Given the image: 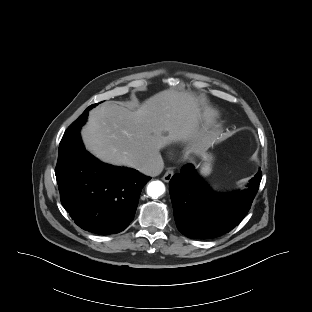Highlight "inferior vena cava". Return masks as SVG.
<instances>
[{
    "label": "inferior vena cava",
    "mask_w": 312,
    "mask_h": 312,
    "mask_svg": "<svg viewBox=\"0 0 312 312\" xmlns=\"http://www.w3.org/2000/svg\"><path fill=\"white\" fill-rule=\"evenodd\" d=\"M163 167L164 163L161 155L159 154L153 158L141 161L137 165L136 169L145 175L157 176L162 172Z\"/></svg>",
    "instance_id": "obj_1"
}]
</instances>
